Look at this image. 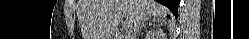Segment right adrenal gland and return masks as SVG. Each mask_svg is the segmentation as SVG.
I'll use <instances>...</instances> for the list:
<instances>
[{
	"instance_id": "2a0ac1e0",
	"label": "right adrenal gland",
	"mask_w": 249,
	"mask_h": 39,
	"mask_svg": "<svg viewBox=\"0 0 249 39\" xmlns=\"http://www.w3.org/2000/svg\"><path fill=\"white\" fill-rule=\"evenodd\" d=\"M138 34H141V28L139 29Z\"/></svg>"
}]
</instances>
